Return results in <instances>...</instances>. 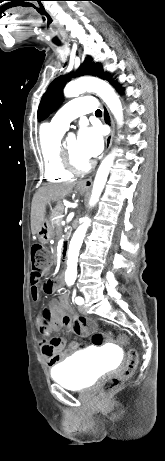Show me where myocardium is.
I'll list each match as a JSON object with an SVG mask.
<instances>
[{
  "label": "myocardium",
  "mask_w": 165,
  "mask_h": 461,
  "mask_svg": "<svg viewBox=\"0 0 165 461\" xmlns=\"http://www.w3.org/2000/svg\"><path fill=\"white\" fill-rule=\"evenodd\" d=\"M59 152L62 166L71 174H85L92 168L93 164L90 161L82 166L76 164L65 145V141L60 142Z\"/></svg>",
  "instance_id": "myocardium-1"
}]
</instances>
